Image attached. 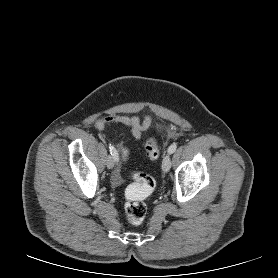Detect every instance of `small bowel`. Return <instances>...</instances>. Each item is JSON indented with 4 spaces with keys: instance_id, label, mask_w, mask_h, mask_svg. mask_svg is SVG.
I'll use <instances>...</instances> for the list:
<instances>
[{
    "instance_id": "c3829d8e",
    "label": "small bowel",
    "mask_w": 278,
    "mask_h": 278,
    "mask_svg": "<svg viewBox=\"0 0 278 278\" xmlns=\"http://www.w3.org/2000/svg\"><path fill=\"white\" fill-rule=\"evenodd\" d=\"M152 119L150 116H145L143 119H140L138 116H129V115H109L103 118L98 119L95 122V128L98 131H103L107 126L120 124L126 126L132 137L135 139H140L143 132L146 131L151 125ZM118 150L122 155H125V151L121 146H118ZM115 182H119V176L115 177Z\"/></svg>"
}]
</instances>
